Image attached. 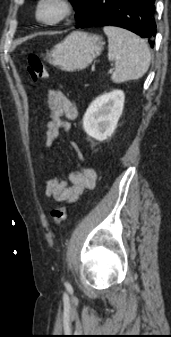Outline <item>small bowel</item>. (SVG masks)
Wrapping results in <instances>:
<instances>
[{
  "instance_id": "1",
  "label": "small bowel",
  "mask_w": 171,
  "mask_h": 337,
  "mask_svg": "<svg viewBox=\"0 0 171 337\" xmlns=\"http://www.w3.org/2000/svg\"><path fill=\"white\" fill-rule=\"evenodd\" d=\"M49 118L48 131L43 149L39 153V159L45 160L53 142L58 138L61 131L69 132V121L77 117L75 102L65 93L58 89H50L47 93ZM77 152L81 162L84 158L76 143H71ZM97 179L96 171L83 165L80 169L72 171L64 177L54 176L47 181L45 198L58 202L73 203L86 189H92Z\"/></svg>"
}]
</instances>
